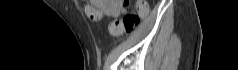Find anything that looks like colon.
Masks as SVG:
<instances>
[{
    "label": "colon",
    "instance_id": "obj_1",
    "mask_svg": "<svg viewBox=\"0 0 238 70\" xmlns=\"http://www.w3.org/2000/svg\"><path fill=\"white\" fill-rule=\"evenodd\" d=\"M136 10L141 16H145L148 13V6L145 1L136 2ZM136 13H129L125 15L121 20L115 21L110 25V31L113 35H120L123 33H129L139 23V15ZM92 17L96 16L95 12H91Z\"/></svg>",
    "mask_w": 238,
    "mask_h": 70
}]
</instances>
